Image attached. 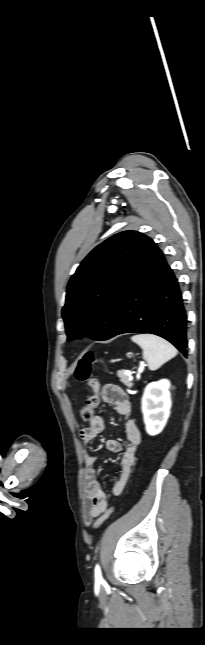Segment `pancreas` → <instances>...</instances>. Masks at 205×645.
Masks as SVG:
<instances>
[{
	"mask_svg": "<svg viewBox=\"0 0 205 645\" xmlns=\"http://www.w3.org/2000/svg\"><path fill=\"white\" fill-rule=\"evenodd\" d=\"M117 375L120 378V381L124 383L126 386L128 387L132 386L133 379L130 376L126 375L124 370H120Z\"/></svg>",
	"mask_w": 205,
	"mask_h": 645,
	"instance_id": "1",
	"label": "pancreas"
}]
</instances>
